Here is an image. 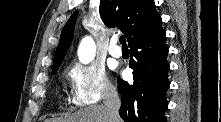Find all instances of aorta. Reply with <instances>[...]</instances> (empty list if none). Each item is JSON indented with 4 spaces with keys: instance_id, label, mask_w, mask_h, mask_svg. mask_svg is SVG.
<instances>
[{
    "instance_id": "obj_1",
    "label": "aorta",
    "mask_w": 221,
    "mask_h": 122,
    "mask_svg": "<svg viewBox=\"0 0 221 122\" xmlns=\"http://www.w3.org/2000/svg\"><path fill=\"white\" fill-rule=\"evenodd\" d=\"M96 52V46L94 40L90 36H86L82 39L79 49L78 57L81 63L87 64L93 60Z\"/></svg>"
}]
</instances>
